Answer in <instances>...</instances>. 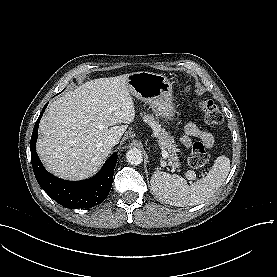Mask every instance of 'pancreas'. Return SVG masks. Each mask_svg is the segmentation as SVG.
Listing matches in <instances>:
<instances>
[{
	"label": "pancreas",
	"mask_w": 277,
	"mask_h": 277,
	"mask_svg": "<svg viewBox=\"0 0 277 277\" xmlns=\"http://www.w3.org/2000/svg\"><path fill=\"white\" fill-rule=\"evenodd\" d=\"M143 120L148 122L149 126L152 128L154 134L158 138L160 147L168 150V165L172 167L173 170L179 168L180 164L177 152H179L180 149L177 148L178 145L175 144L174 138L159 124V121L156 120L153 115L144 114Z\"/></svg>",
	"instance_id": "cf45deb5"
}]
</instances>
